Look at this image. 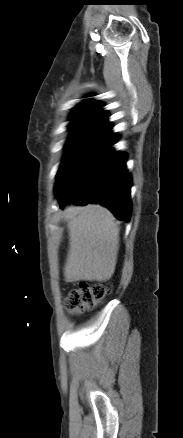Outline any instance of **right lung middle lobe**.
Listing matches in <instances>:
<instances>
[{"instance_id":"obj_1","label":"right lung middle lobe","mask_w":183,"mask_h":438,"mask_svg":"<svg viewBox=\"0 0 183 438\" xmlns=\"http://www.w3.org/2000/svg\"><path fill=\"white\" fill-rule=\"evenodd\" d=\"M98 131L91 129L74 130L65 146L66 153L57 176L67 167L78 152L96 135Z\"/></svg>"}]
</instances>
